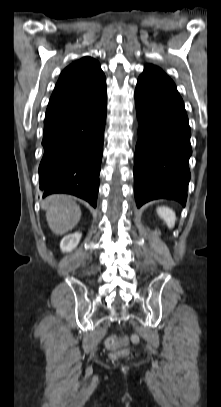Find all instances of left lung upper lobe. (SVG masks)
Listing matches in <instances>:
<instances>
[{
	"label": "left lung upper lobe",
	"instance_id": "1",
	"mask_svg": "<svg viewBox=\"0 0 221 407\" xmlns=\"http://www.w3.org/2000/svg\"><path fill=\"white\" fill-rule=\"evenodd\" d=\"M139 78L142 79H170L159 67L147 64ZM171 80V79H170Z\"/></svg>",
	"mask_w": 221,
	"mask_h": 407
}]
</instances>
